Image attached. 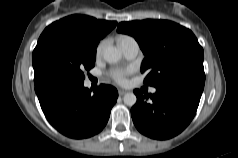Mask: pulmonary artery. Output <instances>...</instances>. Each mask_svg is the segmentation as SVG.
Returning <instances> with one entry per match:
<instances>
[{
  "instance_id": "obj_1",
  "label": "pulmonary artery",
  "mask_w": 238,
  "mask_h": 158,
  "mask_svg": "<svg viewBox=\"0 0 238 158\" xmlns=\"http://www.w3.org/2000/svg\"><path fill=\"white\" fill-rule=\"evenodd\" d=\"M120 46H121L124 56L129 60L134 59L139 53V45H138L137 41L131 37L129 39L123 41L120 44ZM150 92L155 93L156 89L151 88Z\"/></svg>"
}]
</instances>
